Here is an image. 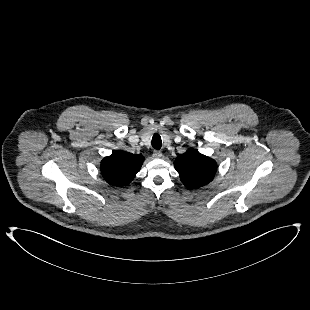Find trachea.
I'll return each instance as SVG.
<instances>
[{"label":"trachea","mask_w":310,"mask_h":310,"mask_svg":"<svg viewBox=\"0 0 310 310\" xmlns=\"http://www.w3.org/2000/svg\"><path fill=\"white\" fill-rule=\"evenodd\" d=\"M151 144L154 149L159 150L161 148L162 140L159 134L156 133L153 135Z\"/></svg>","instance_id":"obj_1"}]
</instances>
